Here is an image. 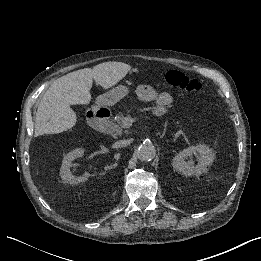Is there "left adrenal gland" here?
<instances>
[{
	"instance_id": "a2214340",
	"label": "left adrenal gland",
	"mask_w": 261,
	"mask_h": 261,
	"mask_svg": "<svg viewBox=\"0 0 261 261\" xmlns=\"http://www.w3.org/2000/svg\"><path fill=\"white\" fill-rule=\"evenodd\" d=\"M166 133H167V128L164 130V132L160 135L159 138H163L166 135Z\"/></svg>"
}]
</instances>
